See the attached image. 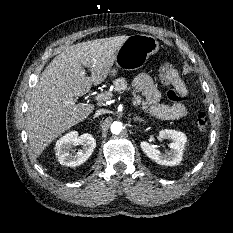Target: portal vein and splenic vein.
<instances>
[{
    "label": "portal vein and splenic vein",
    "instance_id": "obj_1",
    "mask_svg": "<svg viewBox=\"0 0 233 233\" xmlns=\"http://www.w3.org/2000/svg\"><path fill=\"white\" fill-rule=\"evenodd\" d=\"M112 96H113V95H112L111 92H104V93H100V94L96 95V96L94 97V100H96V101H98V102L106 101V100L111 99ZM133 104H134L135 106H137L136 101H133Z\"/></svg>",
    "mask_w": 233,
    "mask_h": 233
}]
</instances>
